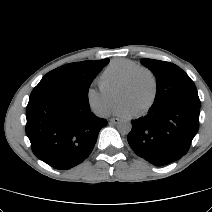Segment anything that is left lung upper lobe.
Instances as JSON below:
<instances>
[{"instance_id": "obj_1", "label": "left lung upper lobe", "mask_w": 212, "mask_h": 212, "mask_svg": "<svg viewBox=\"0 0 212 212\" xmlns=\"http://www.w3.org/2000/svg\"><path fill=\"white\" fill-rule=\"evenodd\" d=\"M141 64L151 70L156 77L157 90L153 105L183 102L200 108L196 86L180 67L147 58L141 59Z\"/></svg>"}]
</instances>
